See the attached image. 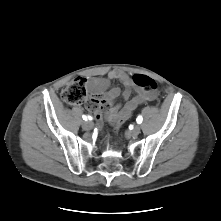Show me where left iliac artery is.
<instances>
[{"instance_id": "1", "label": "left iliac artery", "mask_w": 221, "mask_h": 221, "mask_svg": "<svg viewBox=\"0 0 221 221\" xmlns=\"http://www.w3.org/2000/svg\"><path fill=\"white\" fill-rule=\"evenodd\" d=\"M136 121H137L138 124H141L142 121H143L142 116H138L137 119H136Z\"/></svg>"}]
</instances>
